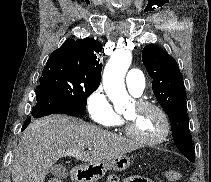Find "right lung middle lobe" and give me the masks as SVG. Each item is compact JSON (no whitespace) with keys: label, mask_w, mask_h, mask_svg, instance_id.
<instances>
[{"label":"right lung middle lobe","mask_w":211,"mask_h":182,"mask_svg":"<svg viewBox=\"0 0 211 182\" xmlns=\"http://www.w3.org/2000/svg\"><path fill=\"white\" fill-rule=\"evenodd\" d=\"M39 81L36 94L54 96L81 113L86 109L87 97L100 85L58 66L44 68Z\"/></svg>","instance_id":"obj_1"}]
</instances>
